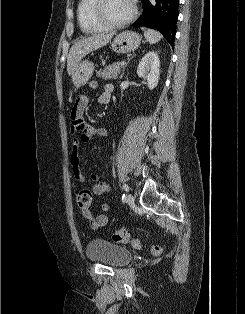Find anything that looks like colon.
Returning <instances> with one entry per match:
<instances>
[{
  "instance_id": "colon-1",
  "label": "colon",
  "mask_w": 245,
  "mask_h": 314,
  "mask_svg": "<svg viewBox=\"0 0 245 314\" xmlns=\"http://www.w3.org/2000/svg\"><path fill=\"white\" fill-rule=\"evenodd\" d=\"M76 203L82 213L90 211L92 203V195L88 189L80 190L76 195ZM113 240L115 242L129 243L134 248H141L142 243L138 237L131 236L125 229L118 228L113 233ZM161 246L153 245L150 248L151 254L158 256L161 254Z\"/></svg>"
}]
</instances>
